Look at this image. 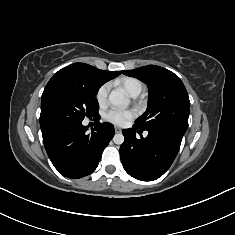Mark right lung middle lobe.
<instances>
[{
	"label": "right lung middle lobe",
	"mask_w": 235,
	"mask_h": 235,
	"mask_svg": "<svg viewBox=\"0 0 235 235\" xmlns=\"http://www.w3.org/2000/svg\"><path fill=\"white\" fill-rule=\"evenodd\" d=\"M98 89L67 74L55 73L41 97L40 124L82 122L85 116H97L99 104L95 95Z\"/></svg>",
	"instance_id": "dd1d6c3e"
}]
</instances>
